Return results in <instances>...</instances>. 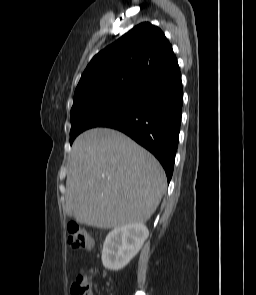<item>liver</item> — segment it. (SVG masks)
Returning <instances> with one entry per match:
<instances>
[{"label": "liver", "mask_w": 256, "mask_h": 295, "mask_svg": "<svg viewBox=\"0 0 256 295\" xmlns=\"http://www.w3.org/2000/svg\"><path fill=\"white\" fill-rule=\"evenodd\" d=\"M166 186L152 154L121 132L95 128L73 143L63 210L77 223L97 228L143 224Z\"/></svg>", "instance_id": "1"}]
</instances>
